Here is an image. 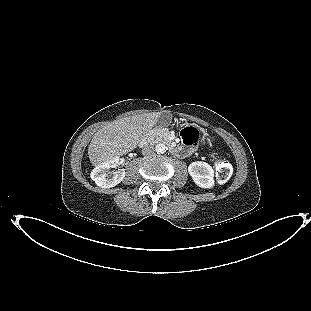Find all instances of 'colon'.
Masks as SVG:
<instances>
[{
  "label": "colon",
  "mask_w": 311,
  "mask_h": 311,
  "mask_svg": "<svg viewBox=\"0 0 311 311\" xmlns=\"http://www.w3.org/2000/svg\"><path fill=\"white\" fill-rule=\"evenodd\" d=\"M183 140L187 144H193L197 141L198 133L194 132L191 128H185L182 133ZM216 181L218 183H224L231 175L232 169L229 162L225 160H219L215 163Z\"/></svg>",
  "instance_id": "obj_1"
}]
</instances>
